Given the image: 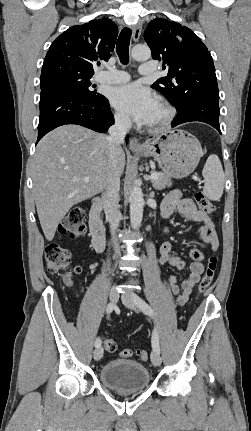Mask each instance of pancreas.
Listing matches in <instances>:
<instances>
[{
	"label": "pancreas",
	"instance_id": "cf45deb5",
	"mask_svg": "<svg viewBox=\"0 0 251 431\" xmlns=\"http://www.w3.org/2000/svg\"><path fill=\"white\" fill-rule=\"evenodd\" d=\"M152 173H157V172H152ZM157 174H158V178L156 180H152V184L155 189L162 190L172 185V181L169 176L160 172Z\"/></svg>",
	"mask_w": 251,
	"mask_h": 431
}]
</instances>
